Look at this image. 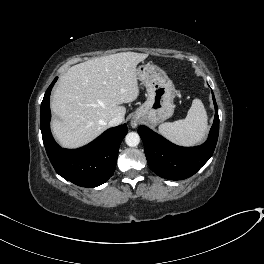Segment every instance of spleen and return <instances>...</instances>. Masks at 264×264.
<instances>
[{
    "label": "spleen",
    "mask_w": 264,
    "mask_h": 264,
    "mask_svg": "<svg viewBox=\"0 0 264 264\" xmlns=\"http://www.w3.org/2000/svg\"><path fill=\"white\" fill-rule=\"evenodd\" d=\"M207 113L200 99H194L183 120L163 123L159 133L168 140L182 146H192L200 143L208 129Z\"/></svg>",
    "instance_id": "1"
}]
</instances>
